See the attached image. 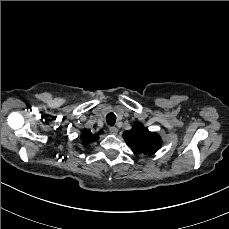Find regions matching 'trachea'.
Returning <instances> with one entry per match:
<instances>
[{
  "instance_id": "1",
  "label": "trachea",
  "mask_w": 229,
  "mask_h": 229,
  "mask_svg": "<svg viewBox=\"0 0 229 229\" xmlns=\"http://www.w3.org/2000/svg\"><path fill=\"white\" fill-rule=\"evenodd\" d=\"M106 122L111 125L114 126L115 122H116V115L114 113H108L106 115Z\"/></svg>"
}]
</instances>
